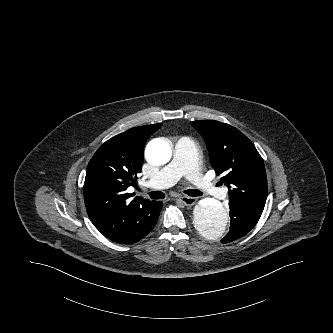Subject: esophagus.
Listing matches in <instances>:
<instances>
[{"mask_svg":"<svg viewBox=\"0 0 333 333\" xmlns=\"http://www.w3.org/2000/svg\"><path fill=\"white\" fill-rule=\"evenodd\" d=\"M179 201L185 206H192L196 203L197 199L190 196H179Z\"/></svg>","mask_w":333,"mask_h":333,"instance_id":"1","label":"esophagus"}]
</instances>
